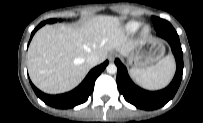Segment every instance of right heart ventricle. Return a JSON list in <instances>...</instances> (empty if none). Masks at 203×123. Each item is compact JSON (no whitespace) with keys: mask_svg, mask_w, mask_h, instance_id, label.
Returning <instances> with one entry per match:
<instances>
[{"mask_svg":"<svg viewBox=\"0 0 203 123\" xmlns=\"http://www.w3.org/2000/svg\"><path fill=\"white\" fill-rule=\"evenodd\" d=\"M140 26L141 23L139 21H129L125 24L124 29L128 33H134L139 29Z\"/></svg>","mask_w":203,"mask_h":123,"instance_id":"right-heart-ventricle-1","label":"right heart ventricle"}]
</instances>
